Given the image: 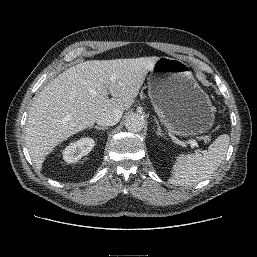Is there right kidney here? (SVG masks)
<instances>
[{
	"label": "right kidney",
	"mask_w": 257,
	"mask_h": 257,
	"mask_svg": "<svg viewBox=\"0 0 257 257\" xmlns=\"http://www.w3.org/2000/svg\"><path fill=\"white\" fill-rule=\"evenodd\" d=\"M95 145L92 138L84 137L76 142L70 143L63 151V159L67 163H75L83 156L87 155Z\"/></svg>",
	"instance_id": "right-kidney-1"
}]
</instances>
